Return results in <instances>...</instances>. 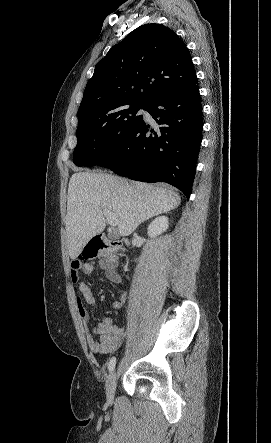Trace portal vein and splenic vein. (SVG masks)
<instances>
[{
    "label": "portal vein and splenic vein",
    "instance_id": "obj_1",
    "mask_svg": "<svg viewBox=\"0 0 271 443\" xmlns=\"http://www.w3.org/2000/svg\"><path fill=\"white\" fill-rule=\"evenodd\" d=\"M103 214L110 225H118V220L110 210H103Z\"/></svg>",
    "mask_w": 271,
    "mask_h": 443
}]
</instances>
